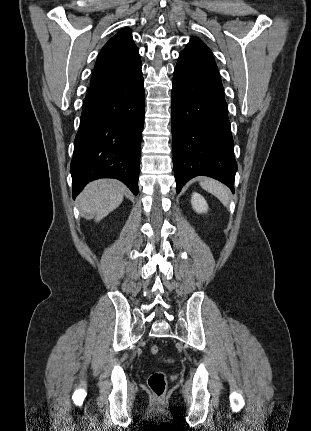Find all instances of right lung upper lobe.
Returning <instances> with one entry per match:
<instances>
[{"label": "right lung upper lobe", "instance_id": "obj_1", "mask_svg": "<svg viewBox=\"0 0 311 431\" xmlns=\"http://www.w3.org/2000/svg\"><path fill=\"white\" fill-rule=\"evenodd\" d=\"M140 64L131 31L121 29L99 53L90 86L125 77Z\"/></svg>", "mask_w": 311, "mask_h": 431}]
</instances>
